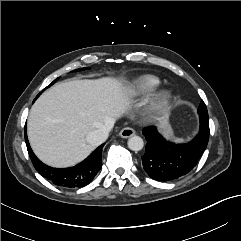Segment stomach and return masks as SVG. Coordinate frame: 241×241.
Returning <instances> with one entry per match:
<instances>
[{"label":"stomach","instance_id":"1","mask_svg":"<svg viewBox=\"0 0 241 241\" xmlns=\"http://www.w3.org/2000/svg\"><path fill=\"white\" fill-rule=\"evenodd\" d=\"M161 132L163 133V135L165 137H171L173 135V130H172V127L171 125L167 124V123H164L162 125V128H161Z\"/></svg>","mask_w":241,"mask_h":241}]
</instances>
